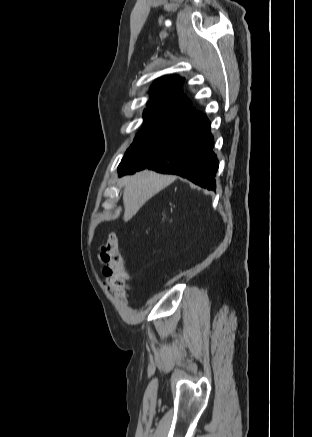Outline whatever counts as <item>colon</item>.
Returning <instances> with one entry per match:
<instances>
[{
    "label": "colon",
    "instance_id": "colon-1",
    "mask_svg": "<svg viewBox=\"0 0 312 437\" xmlns=\"http://www.w3.org/2000/svg\"><path fill=\"white\" fill-rule=\"evenodd\" d=\"M100 258L104 264V284L107 290L120 303H125L129 290V275L119 240L114 234H110L102 244Z\"/></svg>",
    "mask_w": 312,
    "mask_h": 437
}]
</instances>
